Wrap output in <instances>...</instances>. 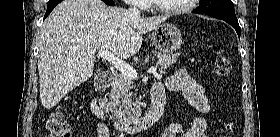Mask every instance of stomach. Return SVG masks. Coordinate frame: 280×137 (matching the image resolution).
Segmentation results:
<instances>
[{
	"instance_id": "obj_1",
	"label": "stomach",
	"mask_w": 280,
	"mask_h": 137,
	"mask_svg": "<svg viewBox=\"0 0 280 137\" xmlns=\"http://www.w3.org/2000/svg\"><path fill=\"white\" fill-rule=\"evenodd\" d=\"M151 39L157 50L170 54L182 45V34L173 24L163 23L153 29Z\"/></svg>"
}]
</instances>
